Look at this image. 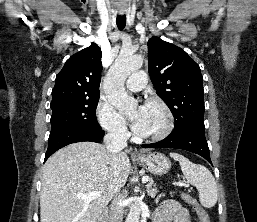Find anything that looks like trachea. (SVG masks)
Instances as JSON below:
<instances>
[{
  "instance_id": "trachea-1",
  "label": "trachea",
  "mask_w": 257,
  "mask_h": 222,
  "mask_svg": "<svg viewBox=\"0 0 257 222\" xmlns=\"http://www.w3.org/2000/svg\"><path fill=\"white\" fill-rule=\"evenodd\" d=\"M116 23H117L118 29L123 30L126 26V16L125 15H117Z\"/></svg>"
}]
</instances>
